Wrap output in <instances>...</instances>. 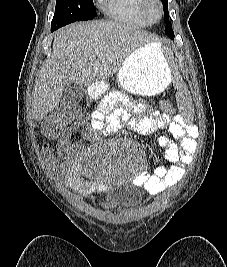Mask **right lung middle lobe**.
Here are the masks:
<instances>
[{"mask_svg":"<svg viewBox=\"0 0 227 267\" xmlns=\"http://www.w3.org/2000/svg\"><path fill=\"white\" fill-rule=\"evenodd\" d=\"M96 15L92 0H57L51 29L56 30L75 21L90 20Z\"/></svg>","mask_w":227,"mask_h":267,"instance_id":"dd1d6c3e","label":"right lung middle lobe"}]
</instances>
